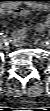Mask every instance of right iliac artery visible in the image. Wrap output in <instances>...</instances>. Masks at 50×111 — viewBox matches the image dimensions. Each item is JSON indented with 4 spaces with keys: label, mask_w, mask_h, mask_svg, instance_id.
Here are the masks:
<instances>
[{
    "label": "right iliac artery",
    "mask_w": 50,
    "mask_h": 111,
    "mask_svg": "<svg viewBox=\"0 0 50 111\" xmlns=\"http://www.w3.org/2000/svg\"><path fill=\"white\" fill-rule=\"evenodd\" d=\"M1 37H4L3 33H0Z\"/></svg>",
    "instance_id": "1"
}]
</instances>
